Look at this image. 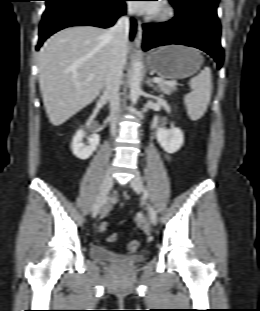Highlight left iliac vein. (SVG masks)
Instances as JSON below:
<instances>
[{"label": "left iliac vein", "mask_w": 260, "mask_h": 311, "mask_svg": "<svg viewBox=\"0 0 260 311\" xmlns=\"http://www.w3.org/2000/svg\"><path fill=\"white\" fill-rule=\"evenodd\" d=\"M130 185L136 193H141L143 191L142 180L138 172H135L134 177L130 181ZM147 210H148L150 223L153 225H156L157 224V213L155 209L150 204H148Z\"/></svg>", "instance_id": "left-iliac-vein-1"}]
</instances>
